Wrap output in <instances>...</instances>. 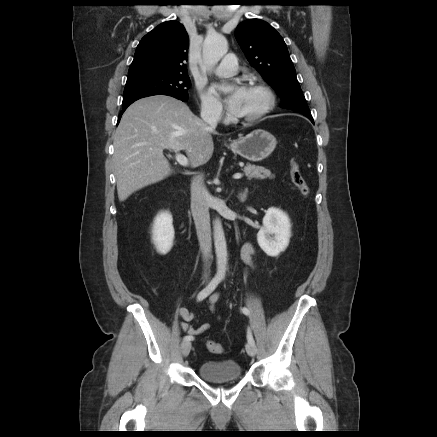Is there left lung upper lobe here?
Here are the masks:
<instances>
[{
	"instance_id": "1",
	"label": "left lung upper lobe",
	"mask_w": 437,
	"mask_h": 437,
	"mask_svg": "<svg viewBox=\"0 0 437 437\" xmlns=\"http://www.w3.org/2000/svg\"><path fill=\"white\" fill-rule=\"evenodd\" d=\"M235 37L249 63L281 97V107L311 115L281 35L267 22L249 19L237 26Z\"/></svg>"
}]
</instances>
